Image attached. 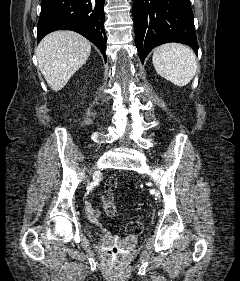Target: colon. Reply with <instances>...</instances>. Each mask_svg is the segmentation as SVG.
<instances>
[{
    "instance_id": "5ec220e1",
    "label": "colon",
    "mask_w": 240,
    "mask_h": 281,
    "mask_svg": "<svg viewBox=\"0 0 240 281\" xmlns=\"http://www.w3.org/2000/svg\"><path fill=\"white\" fill-rule=\"evenodd\" d=\"M117 189V180L113 177L108 178L104 184V191L102 195V202L104 210L107 216L114 217L117 213V208L115 204V191ZM143 226L140 221L133 220L127 224L126 231L131 235H138L142 232ZM111 254L113 256L118 255V249L116 247L112 248Z\"/></svg>"
}]
</instances>
